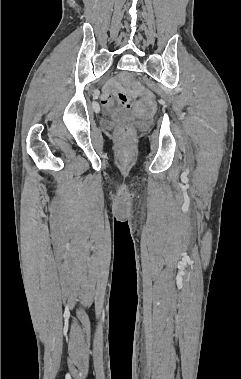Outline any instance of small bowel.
<instances>
[{"instance_id":"small-bowel-1","label":"small bowel","mask_w":241,"mask_h":379,"mask_svg":"<svg viewBox=\"0 0 241 379\" xmlns=\"http://www.w3.org/2000/svg\"><path fill=\"white\" fill-rule=\"evenodd\" d=\"M115 89V84L114 83H109L105 86L102 95H101V101L103 104L108 105L110 102V97L112 91ZM96 107H98L97 104H95Z\"/></svg>"}]
</instances>
